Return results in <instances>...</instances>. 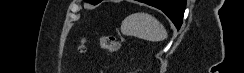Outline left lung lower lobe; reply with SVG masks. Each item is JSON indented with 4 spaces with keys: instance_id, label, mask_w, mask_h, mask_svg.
<instances>
[{
    "instance_id": "1",
    "label": "left lung lower lobe",
    "mask_w": 244,
    "mask_h": 73,
    "mask_svg": "<svg viewBox=\"0 0 244 73\" xmlns=\"http://www.w3.org/2000/svg\"><path fill=\"white\" fill-rule=\"evenodd\" d=\"M163 11L179 29L185 11L186 0H139Z\"/></svg>"
}]
</instances>
